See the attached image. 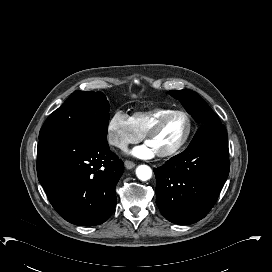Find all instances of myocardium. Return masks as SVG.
Listing matches in <instances>:
<instances>
[{"label": "myocardium", "instance_id": "1", "mask_svg": "<svg viewBox=\"0 0 272 272\" xmlns=\"http://www.w3.org/2000/svg\"><path fill=\"white\" fill-rule=\"evenodd\" d=\"M175 116H182L187 124V130L185 133L184 138L182 139V141L172 150L166 151V152H160L157 153L158 157L161 158H167V157H173L175 155H177L178 153H180V151L185 147V145L188 143L192 131H193V124H192V120L190 118V116L181 110H174L171 111L169 113H166L162 116H160L147 130L145 133V137L148 140L151 136H153L154 134H156L161 127L171 118L175 117Z\"/></svg>", "mask_w": 272, "mask_h": 272}]
</instances>
